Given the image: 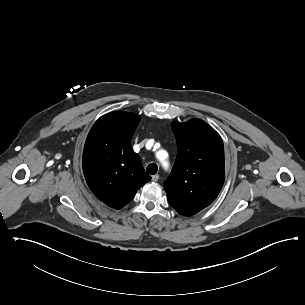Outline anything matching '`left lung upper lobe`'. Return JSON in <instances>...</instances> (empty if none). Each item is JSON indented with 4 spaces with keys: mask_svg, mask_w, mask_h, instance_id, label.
Segmentation results:
<instances>
[{
    "mask_svg": "<svg viewBox=\"0 0 305 305\" xmlns=\"http://www.w3.org/2000/svg\"><path fill=\"white\" fill-rule=\"evenodd\" d=\"M178 153L164 183L168 201L180 214L192 216L209 206L225 180L224 145L207 123L172 122Z\"/></svg>",
    "mask_w": 305,
    "mask_h": 305,
    "instance_id": "1",
    "label": "left lung upper lobe"
}]
</instances>
